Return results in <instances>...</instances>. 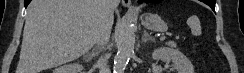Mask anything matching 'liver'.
Masks as SVG:
<instances>
[{
  "label": "liver",
  "instance_id": "1",
  "mask_svg": "<svg viewBox=\"0 0 244 73\" xmlns=\"http://www.w3.org/2000/svg\"><path fill=\"white\" fill-rule=\"evenodd\" d=\"M99 15L100 0H32L16 73H40L87 53L96 43Z\"/></svg>",
  "mask_w": 244,
  "mask_h": 73
}]
</instances>
